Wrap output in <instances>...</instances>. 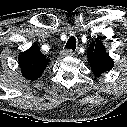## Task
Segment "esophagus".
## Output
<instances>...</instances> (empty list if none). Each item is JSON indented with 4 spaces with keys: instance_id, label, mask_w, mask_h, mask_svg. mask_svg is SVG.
<instances>
[{
    "instance_id": "esophagus-1",
    "label": "esophagus",
    "mask_w": 127,
    "mask_h": 127,
    "mask_svg": "<svg viewBox=\"0 0 127 127\" xmlns=\"http://www.w3.org/2000/svg\"><path fill=\"white\" fill-rule=\"evenodd\" d=\"M60 55H61L62 57H65V56H72V55H74V52H73L72 50H70V49H66V50L60 51Z\"/></svg>"
}]
</instances>
